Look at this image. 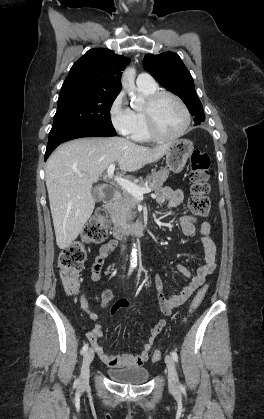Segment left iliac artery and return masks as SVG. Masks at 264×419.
<instances>
[{
    "mask_svg": "<svg viewBox=\"0 0 264 419\" xmlns=\"http://www.w3.org/2000/svg\"><path fill=\"white\" fill-rule=\"evenodd\" d=\"M171 355H172V357H173V359H174V361H178V355H177V352L175 351V350H172V352H171Z\"/></svg>",
    "mask_w": 264,
    "mask_h": 419,
    "instance_id": "44dca946",
    "label": "left iliac artery"
}]
</instances>
